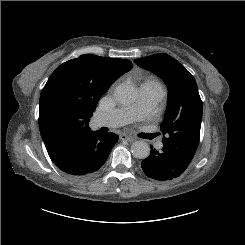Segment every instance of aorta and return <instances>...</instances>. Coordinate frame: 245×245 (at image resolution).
Returning a JSON list of instances; mask_svg holds the SVG:
<instances>
[{"mask_svg":"<svg viewBox=\"0 0 245 245\" xmlns=\"http://www.w3.org/2000/svg\"><path fill=\"white\" fill-rule=\"evenodd\" d=\"M114 97L118 103L130 105L137 98V90L128 84H120L115 88ZM131 153L137 159H145L150 155V146L145 141H135L131 145Z\"/></svg>","mask_w":245,"mask_h":245,"instance_id":"1","label":"aorta"}]
</instances>
